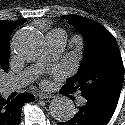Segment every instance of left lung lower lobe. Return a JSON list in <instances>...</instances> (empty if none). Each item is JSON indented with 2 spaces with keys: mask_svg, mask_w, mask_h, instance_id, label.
<instances>
[{
  "mask_svg": "<svg viewBox=\"0 0 125 125\" xmlns=\"http://www.w3.org/2000/svg\"><path fill=\"white\" fill-rule=\"evenodd\" d=\"M60 93L68 95L63 89ZM118 100L117 98L85 100L73 118L66 122H58L57 125H106L116 109Z\"/></svg>",
  "mask_w": 125,
  "mask_h": 125,
  "instance_id": "obj_1",
  "label": "left lung lower lobe"
}]
</instances>
